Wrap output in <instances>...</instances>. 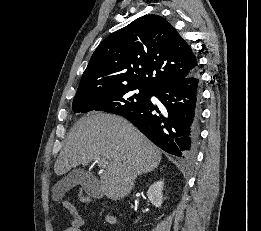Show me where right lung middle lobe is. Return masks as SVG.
Listing matches in <instances>:
<instances>
[{
    "instance_id": "obj_1",
    "label": "right lung middle lobe",
    "mask_w": 261,
    "mask_h": 231,
    "mask_svg": "<svg viewBox=\"0 0 261 231\" xmlns=\"http://www.w3.org/2000/svg\"><path fill=\"white\" fill-rule=\"evenodd\" d=\"M135 90L138 91L135 92ZM150 98V90L126 85L75 96L72 107L74 113L96 110L122 115L145 105Z\"/></svg>"
}]
</instances>
